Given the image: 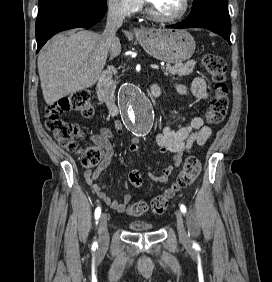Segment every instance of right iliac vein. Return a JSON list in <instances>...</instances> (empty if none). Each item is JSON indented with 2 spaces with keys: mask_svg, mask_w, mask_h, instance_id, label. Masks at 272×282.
I'll list each match as a JSON object with an SVG mask.
<instances>
[{
  "mask_svg": "<svg viewBox=\"0 0 272 282\" xmlns=\"http://www.w3.org/2000/svg\"><path fill=\"white\" fill-rule=\"evenodd\" d=\"M98 234H99V243L101 246H105L108 243V223H107V215L102 214L98 226Z\"/></svg>",
  "mask_w": 272,
  "mask_h": 282,
  "instance_id": "obj_1",
  "label": "right iliac vein"
}]
</instances>
